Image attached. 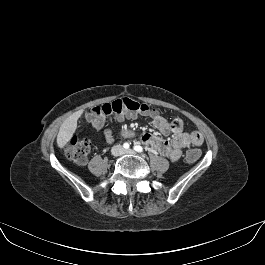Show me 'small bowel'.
Returning a JSON list of instances; mask_svg holds the SVG:
<instances>
[{
  "label": "small bowel",
  "instance_id": "obj_1",
  "mask_svg": "<svg viewBox=\"0 0 265 265\" xmlns=\"http://www.w3.org/2000/svg\"><path fill=\"white\" fill-rule=\"evenodd\" d=\"M124 117L125 116L122 115L117 119L118 121H122ZM126 117L135 118L137 115L127 114ZM151 122L162 135L172 134L171 139L145 133L140 136V140L170 160H178L181 157L183 149L189 146H199L203 142V137L199 132L194 131L187 133L183 131L184 123L180 118L169 121L159 113H156L151 115ZM104 136L108 143L114 141V135L110 128H105Z\"/></svg>",
  "mask_w": 265,
  "mask_h": 265
}]
</instances>
